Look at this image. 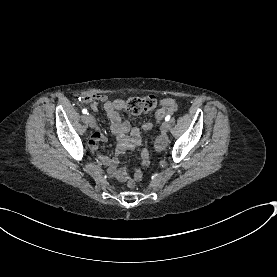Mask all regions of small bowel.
<instances>
[{"label": "small bowel", "instance_id": "1", "mask_svg": "<svg viewBox=\"0 0 277 277\" xmlns=\"http://www.w3.org/2000/svg\"><path fill=\"white\" fill-rule=\"evenodd\" d=\"M96 102L103 103L104 110L110 121V128L115 133L117 138V154H121L126 150L134 149L141 141L140 133L137 128H131V125L128 121L123 120V117L120 114V110L123 107V101L121 100H109L106 95L92 92L90 95L83 97L84 102H91L88 99ZM93 102L90 105L91 110L96 111L99 108L98 103ZM163 108L160 109L165 112L166 116L174 112L176 108V103L173 99L167 98L162 101ZM144 131H151L152 124L146 122L142 126ZM105 139V136L96 131L91 140L89 141V146L92 150L96 148L97 141ZM97 156L100 159H103L104 165L113 169L114 176L119 181H124L128 177V173L124 168H118V161L110 157H104L100 152H97ZM142 165L149 164V153L146 148L142 151Z\"/></svg>", "mask_w": 277, "mask_h": 277}]
</instances>
